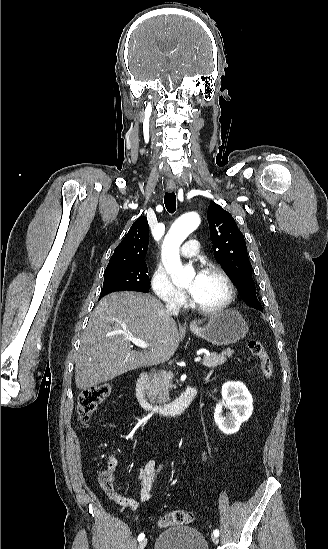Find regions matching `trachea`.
Masks as SVG:
<instances>
[{
  "instance_id": "1",
  "label": "trachea",
  "mask_w": 328,
  "mask_h": 549,
  "mask_svg": "<svg viewBox=\"0 0 328 549\" xmlns=\"http://www.w3.org/2000/svg\"><path fill=\"white\" fill-rule=\"evenodd\" d=\"M164 204L167 211L173 214L176 210V195L174 192L166 193L164 196Z\"/></svg>"
}]
</instances>
